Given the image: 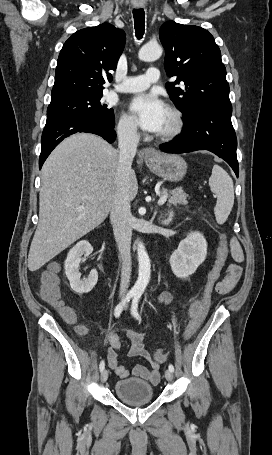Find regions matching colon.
Here are the masks:
<instances>
[{
    "label": "colon",
    "instance_id": "5ec220e1",
    "mask_svg": "<svg viewBox=\"0 0 272 455\" xmlns=\"http://www.w3.org/2000/svg\"><path fill=\"white\" fill-rule=\"evenodd\" d=\"M229 242L225 234H221L216 252L215 261L210 269L207 280L200 299L194 301L189 310L190 320L184 331V340L191 339L199 329L204 320L207 310L214 292V286L220 279L222 271L225 268L227 258L229 256ZM57 266L52 265L47 272L42 276L41 297L51 305L57 307L62 315L67 319H73V312L65 307L61 301V291L59 281L56 276ZM168 358V352L157 350L154 353V359L157 362H164Z\"/></svg>",
    "mask_w": 272,
    "mask_h": 455
}]
</instances>
